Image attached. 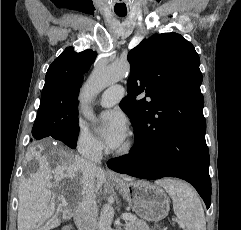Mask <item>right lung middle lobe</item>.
<instances>
[{
    "instance_id": "obj_1",
    "label": "right lung middle lobe",
    "mask_w": 241,
    "mask_h": 230,
    "mask_svg": "<svg viewBox=\"0 0 241 230\" xmlns=\"http://www.w3.org/2000/svg\"><path fill=\"white\" fill-rule=\"evenodd\" d=\"M79 134L78 110L62 108L38 111L32 129V140L52 137L71 147L76 144Z\"/></svg>"
}]
</instances>
